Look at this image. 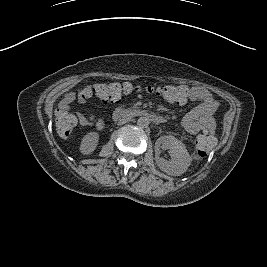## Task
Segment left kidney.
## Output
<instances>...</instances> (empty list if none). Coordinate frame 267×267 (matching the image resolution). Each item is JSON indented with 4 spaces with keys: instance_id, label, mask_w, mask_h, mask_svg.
<instances>
[{
    "instance_id": "obj_1",
    "label": "left kidney",
    "mask_w": 267,
    "mask_h": 267,
    "mask_svg": "<svg viewBox=\"0 0 267 267\" xmlns=\"http://www.w3.org/2000/svg\"><path fill=\"white\" fill-rule=\"evenodd\" d=\"M169 149L170 160L155 156V162L159 169L171 176H181L189 168L192 158L186 146L174 136L164 135L157 139L155 149Z\"/></svg>"
}]
</instances>
